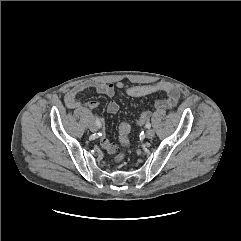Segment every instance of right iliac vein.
I'll use <instances>...</instances> for the list:
<instances>
[{
    "label": "right iliac vein",
    "mask_w": 241,
    "mask_h": 241,
    "mask_svg": "<svg viewBox=\"0 0 241 241\" xmlns=\"http://www.w3.org/2000/svg\"><path fill=\"white\" fill-rule=\"evenodd\" d=\"M89 128H90V130H91L92 132H96V131L98 130V127H97V125H96L95 122H92V123L90 124Z\"/></svg>",
    "instance_id": "right-iliac-vein-1"
}]
</instances>
